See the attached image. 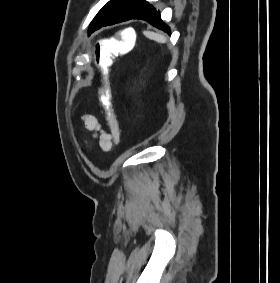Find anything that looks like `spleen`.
Masks as SVG:
<instances>
[{
  "label": "spleen",
  "instance_id": "3e777b00",
  "mask_svg": "<svg viewBox=\"0 0 280 283\" xmlns=\"http://www.w3.org/2000/svg\"><path fill=\"white\" fill-rule=\"evenodd\" d=\"M143 34L151 39V40H154L158 43H165L167 41L166 37L159 34V33H155V32H152V31H143Z\"/></svg>",
  "mask_w": 280,
  "mask_h": 283
}]
</instances>
